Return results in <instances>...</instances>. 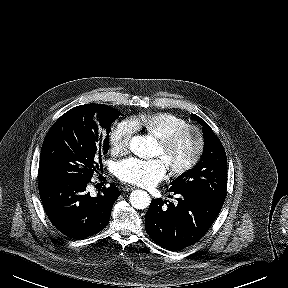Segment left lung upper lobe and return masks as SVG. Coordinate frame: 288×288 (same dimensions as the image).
<instances>
[{"label":"left lung upper lobe","mask_w":288,"mask_h":288,"mask_svg":"<svg viewBox=\"0 0 288 288\" xmlns=\"http://www.w3.org/2000/svg\"><path fill=\"white\" fill-rule=\"evenodd\" d=\"M191 116L203 126V154L192 169L172 181L169 192L200 194L224 203L227 188L226 153L209 125L199 116Z\"/></svg>","instance_id":"1"}]
</instances>
